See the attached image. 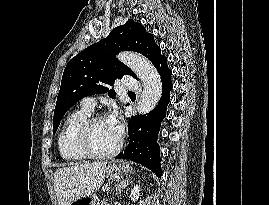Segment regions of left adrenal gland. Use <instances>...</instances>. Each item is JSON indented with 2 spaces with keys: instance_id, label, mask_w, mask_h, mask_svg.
<instances>
[{
  "instance_id": "1",
  "label": "left adrenal gland",
  "mask_w": 269,
  "mask_h": 205,
  "mask_svg": "<svg viewBox=\"0 0 269 205\" xmlns=\"http://www.w3.org/2000/svg\"><path fill=\"white\" fill-rule=\"evenodd\" d=\"M131 183L130 175L122 180L119 184L116 185V194H120L121 190L124 189Z\"/></svg>"
}]
</instances>
